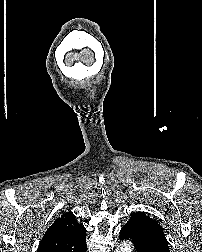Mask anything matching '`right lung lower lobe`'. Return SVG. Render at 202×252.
Instances as JSON below:
<instances>
[{
  "label": "right lung lower lobe",
  "instance_id": "98d812e1",
  "mask_svg": "<svg viewBox=\"0 0 202 252\" xmlns=\"http://www.w3.org/2000/svg\"><path fill=\"white\" fill-rule=\"evenodd\" d=\"M86 249H87V247H86V244H85V249L83 250V252H86Z\"/></svg>",
  "mask_w": 202,
  "mask_h": 252
}]
</instances>
